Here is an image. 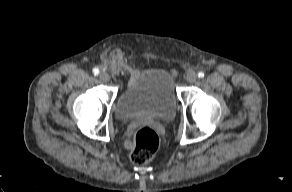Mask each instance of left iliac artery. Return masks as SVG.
Here are the masks:
<instances>
[{
	"mask_svg": "<svg viewBox=\"0 0 292 192\" xmlns=\"http://www.w3.org/2000/svg\"><path fill=\"white\" fill-rule=\"evenodd\" d=\"M198 77H199V78H203V77H204V73H203V72H199V73H198Z\"/></svg>",
	"mask_w": 292,
	"mask_h": 192,
	"instance_id": "obj_1",
	"label": "left iliac artery"
}]
</instances>
